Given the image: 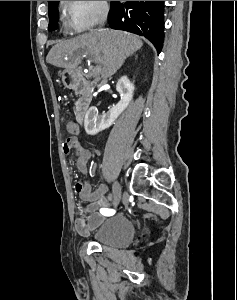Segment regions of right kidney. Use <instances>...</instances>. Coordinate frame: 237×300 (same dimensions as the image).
Wrapping results in <instances>:
<instances>
[{
	"label": "right kidney",
	"mask_w": 237,
	"mask_h": 300,
	"mask_svg": "<svg viewBox=\"0 0 237 300\" xmlns=\"http://www.w3.org/2000/svg\"><path fill=\"white\" fill-rule=\"evenodd\" d=\"M134 89L133 83H130L127 77H121L116 85V91L120 93L121 101L115 107L109 109L107 113H101V115H99L96 107H90L84 119V129L87 135H97L100 131L109 129L119 115L127 109L130 101H132Z\"/></svg>",
	"instance_id": "right-kidney-1"
}]
</instances>
